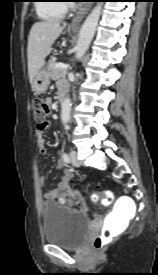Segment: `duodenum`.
Wrapping results in <instances>:
<instances>
[{
    "label": "duodenum",
    "mask_w": 158,
    "mask_h": 275,
    "mask_svg": "<svg viewBox=\"0 0 158 275\" xmlns=\"http://www.w3.org/2000/svg\"><path fill=\"white\" fill-rule=\"evenodd\" d=\"M67 91H68V87H63L59 90L58 96L61 102L65 99L67 95Z\"/></svg>",
    "instance_id": "410a0bca"
}]
</instances>
